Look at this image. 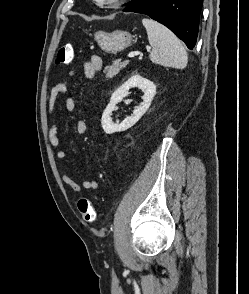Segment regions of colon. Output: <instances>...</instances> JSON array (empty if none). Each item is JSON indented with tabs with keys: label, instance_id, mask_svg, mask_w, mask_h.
Returning a JSON list of instances; mask_svg holds the SVG:
<instances>
[{
	"label": "colon",
	"instance_id": "5ec220e1",
	"mask_svg": "<svg viewBox=\"0 0 249 294\" xmlns=\"http://www.w3.org/2000/svg\"><path fill=\"white\" fill-rule=\"evenodd\" d=\"M73 46L70 44L63 45L59 48L56 56L57 65H69L73 60ZM78 210L85 222L91 223L96 219V211L91 201L82 197L78 201Z\"/></svg>",
	"mask_w": 249,
	"mask_h": 294
}]
</instances>
